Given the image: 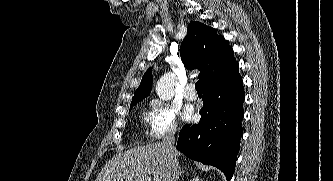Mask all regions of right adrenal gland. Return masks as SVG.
<instances>
[{
  "mask_svg": "<svg viewBox=\"0 0 333 181\" xmlns=\"http://www.w3.org/2000/svg\"><path fill=\"white\" fill-rule=\"evenodd\" d=\"M187 170H181L180 167L178 168L177 170V175L175 177V180L174 181H178L179 177L184 174Z\"/></svg>",
  "mask_w": 333,
  "mask_h": 181,
  "instance_id": "2a0ac1e0",
  "label": "right adrenal gland"
}]
</instances>
